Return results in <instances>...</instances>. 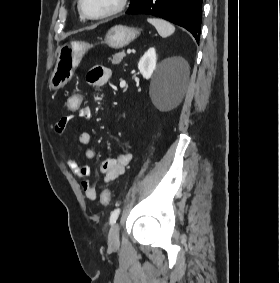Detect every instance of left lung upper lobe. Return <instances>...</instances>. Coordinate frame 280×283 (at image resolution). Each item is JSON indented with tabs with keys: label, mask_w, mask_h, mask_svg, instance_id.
Returning a JSON list of instances; mask_svg holds the SVG:
<instances>
[{
	"label": "left lung upper lobe",
	"mask_w": 280,
	"mask_h": 283,
	"mask_svg": "<svg viewBox=\"0 0 280 283\" xmlns=\"http://www.w3.org/2000/svg\"><path fill=\"white\" fill-rule=\"evenodd\" d=\"M137 0H130V6L133 5Z\"/></svg>",
	"instance_id": "left-lung-upper-lobe-1"
}]
</instances>
